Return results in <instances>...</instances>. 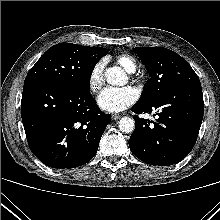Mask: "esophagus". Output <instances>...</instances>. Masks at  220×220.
<instances>
[{"label": "esophagus", "instance_id": "34e87169", "mask_svg": "<svg viewBox=\"0 0 220 220\" xmlns=\"http://www.w3.org/2000/svg\"><path fill=\"white\" fill-rule=\"evenodd\" d=\"M120 115L119 114H112V119L113 120H118V119H120Z\"/></svg>", "mask_w": 220, "mask_h": 220}]
</instances>
